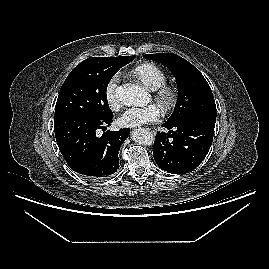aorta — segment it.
<instances>
[{"label":"aorta","instance_id":"762f6f07","mask_svg":"<svg viewBox=\"0 0 269 269\" xmlns=\"http://www.w3.org/2000/svg\"><path fill=\"white\" fill-rule=\"evenodd\" d=\"M115 92L118 100L126 106H135L143 102L147 96L142 87L132 83L119 86ZM131 135L132 140L138 144L150 146L154 143L153 134L145 128L135 129Z\"/></svg>","mask_w":269,"mask_h":269}]
</instances>
